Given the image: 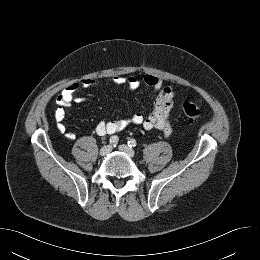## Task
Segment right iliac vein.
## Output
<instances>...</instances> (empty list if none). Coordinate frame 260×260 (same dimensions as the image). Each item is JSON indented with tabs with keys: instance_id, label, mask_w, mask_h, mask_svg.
I'll return each instance as SVG.
<instances>
[{
	"instance_id": "right-iliac-vein-1",
	"label": "right iliac vein",
	"mask_w": 260,
	"mask_h": 260,
	"mask_svg": "<svg viewBox=\"0 0 260 260\" xmlns=\"http://www.w3.org/2000/svg\"><path fill=\"white\" fill-rule=\"evenodd\" d=\"M111 151H112V146H110V145L103 146V147L100 149V155H101V156H106V155L109 154Z\"/></svg>"
}]
</instances>
